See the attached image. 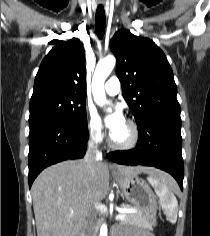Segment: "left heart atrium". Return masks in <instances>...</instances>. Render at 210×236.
Returning <instances> with one entry per match:
<instances>
[{"label":"left heart atrium","instance_id":"1","mask_svg":"<svg viewBox=\"0 0 210 236\" xmlns=\"http://www.w3.org/2000/svg\"><path fill=\"white\" fill-rule=\"evenodd\" d=\"M104 121L111 133L117 130L125 122L121 108L114 106L112 111L105 116Z\"/></svg>","mask_w":210,"mask_h":236}]
</instances>
